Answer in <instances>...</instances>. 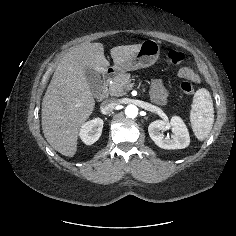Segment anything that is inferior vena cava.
<instances>
[{
	"label": "inferior vena cava",
	"instance_id": "1",
	"mask_svg": "<svg viewBox=\"0 0 236 236\" xmlns=\"http://www.w3.org/2000/svg\"><path fill=\"white\" fill-rule=\"evenodd\" d=\"M118 105H119L118 99L115 98L106 99L101 103V111L103 114H108L112 112Z\"/></svg>",
	"mask_w": 236,
	"mask_h": 236
}]
</instances>
